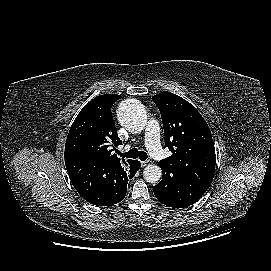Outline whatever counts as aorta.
Returning a JSON list of instances; mask_svg holds the SVG:
<instances>
[{"mask_svg": "<svg viewBox=\"0 0 271 271\" xmlns=\"http://www.w3.org/2000/svg\"><path fill=\"white\" fill-rule=\"evenodd\" d=\"M117 118L120 124L132 133L141 132L147 123V115L143 105L135 99H127L118 107ZM162 176L158 165L149 164L144 168L143 178L148 183H156Z\"/></svg>", "mask_w": 271, "mask_h": 271, "instance_id": "1", "label": "aorta"}]
</instances>
